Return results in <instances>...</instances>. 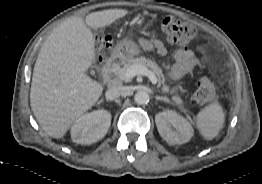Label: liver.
<instances>
[{"label": "liver", "mask_w": 262, "mask_h": 184, "mask_svg": "<svg viewBox=\"0 0 262 184\" xmlns=\"http://www.w3.org/2000/svg\"><path fill=\"white\" fill-rule=\"evenodd\" d=\"M127 14L124 9H109L90 13L85 21L73 16L47 37L34 66L30 105L50 137L62 138L102 95L103 86L86 74L95 62L90 28H104Z\"/></svg>", "instance_id": "obj_1"}]
</instances>
